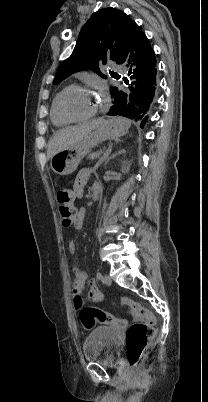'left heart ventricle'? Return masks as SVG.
Returning <instances> with one entry per match:
<instances>
[{"instance_id": "left-heart-ventricle-1", "label": "left heart ventricle", "mask_w": 208, "mask_h": 402, "mask_svg": "<svg viewBox=\"0 0 208 402\" xmlns=\"http://www.w3.org/2000/svg\"><path fill=\"white\" fill-rule=\"evenodd\" d=\"M99 97L83 89H75L67 93L63 103L68 112L74 115L87 114L98 104Z\"/></svg>"}]
</instances>
